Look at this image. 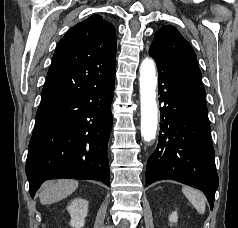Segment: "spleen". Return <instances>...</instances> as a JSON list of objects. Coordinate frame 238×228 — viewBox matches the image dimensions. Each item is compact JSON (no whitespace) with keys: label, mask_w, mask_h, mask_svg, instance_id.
I'll return each mask as SVG.
<instances>
[{"label":"spleen","mask_w":238,"mask_h":228,"mask_svg":"<svg viewBox=\"0 0 238 228\" xmlns=\"http://www.w3.org/2000/svg\"><path fill=\"white\" fill-rule=\"evenodd\" d=\"M182 192L199 213L203 214L205 212L206 197L201 191L184 186Z\"/></svg>","instance_id":"spleen-1"}]
</instances>
